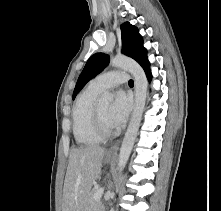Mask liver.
Wrapping results in <instances>:
<instances>
[{"label": "liver", "mask_w": 221, "mask_h": 211, "mask_svg": "<svg viewBox=\"0 0 221 211\" xmlns=\"http://www.w3.org/2000/svg\"><path fill=\"white\" fill-rule=\"evenodd\" d=\"M106 151L100 146L70 151L63 188L62 211H83L93 182L98 178Z\"/></svg>", "instance_id": "obj_1"}]
</instances>
